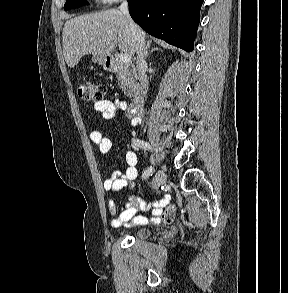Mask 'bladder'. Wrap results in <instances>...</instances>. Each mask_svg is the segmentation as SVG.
<instances>
[{"label":"bladder","mask_w":288,"mask_h":293,"mask_svg":"<svg viewBox=\"0 0 288 293\" xmlns=\"http://www.w3.org/2000/svg\"><path fill=\"white\" fill-rule=\"evenodd\" d=\"M151 235V231L148 228H138L134 231L133 236L136 239H147Z\"/></svg>","instance_id":"obj_1"}]
</instances>
